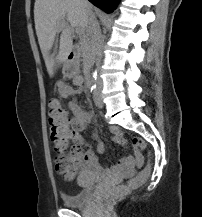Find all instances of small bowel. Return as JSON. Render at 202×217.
Returning <instances> with one entry per match:
<instances>
[{"mask_svg":"<svg viewBox=\"0 0 202 217\" xmlns=\"http://www.w3.org/2000/svg\"><path fill=\"white\" fill-rule=\"evenodd\" d=\"M72 80L73 84L78 87L77 89L73 88L65 81H58L56 87L62 98L73 97V99L67 104L68 109L72 113V117L67 120L68 138L75 140L80 145L87 146L85 140L81 136V132L92 119V113L83 109L75 99V95L81 90L83 83L82 77L76 75ZM110 131L112 133V141L126 148L127 140L123 137L121 131L116 127H112ZM93 137L97 140L96 151L98 153H103L105 150L103 142L99 140L97 134L94 133ZM143 162V155L138 149H136L134 156H124L119 160V162L112 165L108 171L119 178L132 177L135 175L137 168L143 165ZM78 163L82 170H91L98 174H102L105 171L93 149L88 146L86 150L78 156Z\"/></svg>","mask_w":202,"mask_h":217,"instance_id":"obj_1","label":"small bowel"}]
</instances>
